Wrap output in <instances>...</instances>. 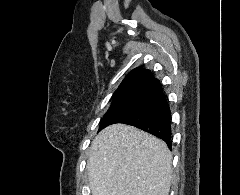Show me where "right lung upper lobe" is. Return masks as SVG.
<instances>
[{
    "label": "right lung upper lobe",
    "instance_id": "cb5924a9",
    "mask_svg": "<svg viewBox=\"0 0 240 195\" xmlns=\"http://www.w3.org/2000/svg\"><path fill=\"white\" fill-rule=\"evenodd\" d=\"M160 85L158 79L154 78L150 70L137 67L132 70L121 82L114 95L120 94H149Z\"/></svg>",
    "mask_w": 240,
    "mask_h": 195
}]
</instances>
